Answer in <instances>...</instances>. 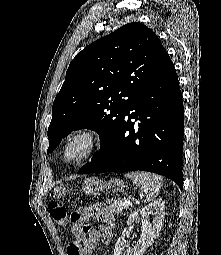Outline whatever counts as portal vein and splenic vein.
<instances>
[{
    "mask_svg": "<svg viewBox=\"0 0 221 255\" xmlns=\"http://www.w3.org/2000/svg\"><path fill=\"white\" fill-rule=\"evenodd\" d=\"M125 202L128 203V204H131V202L129 200H125Z\"/></svg>",
    "mask_w": 221,
    "mask_h": 255,
    "instance_id": "obj_1",
    "label": "portal vein and splenic vein"
}]
</instances>
